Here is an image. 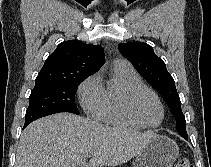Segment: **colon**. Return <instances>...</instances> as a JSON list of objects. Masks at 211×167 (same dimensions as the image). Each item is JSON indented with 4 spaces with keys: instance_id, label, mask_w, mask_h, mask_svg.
I'll return each instance as SVG.
<instances>
[{
    "instance_id": "obj_1",
    "label": "colon",
    "mask_w": 211,
    "mask_h": 167,
    "mask_svg": "<svg viewBox=\"0 0 211 167\" xmlns=\"http://www.w3.org/2000/svg\"><path fill=\"white\" fill-rule=\"evenodd\" d=\"M175 167H193L190 160L186 157L181 158L177 164L175 165Z\"/></svg>"
}]
</instances>
